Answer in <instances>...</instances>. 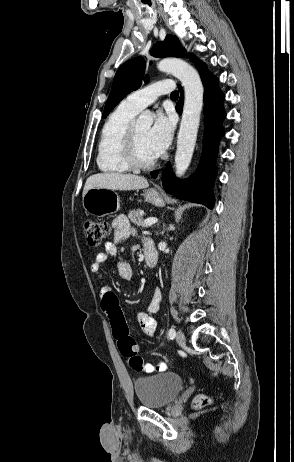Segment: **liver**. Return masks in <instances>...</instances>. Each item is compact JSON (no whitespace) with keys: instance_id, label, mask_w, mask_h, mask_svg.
<instances>
[{"instance_id":"6515ba94","label":"liver","mask_w":294,"mask_h":462,"mask_svg":"<svg viewBox=\"0 0 294 462\" xmlns=\"http://www.w3.org/2000/svg\"><path fill=\"white\" fill-rule=\"evenodd\" d=\"M144 177L133 174L98 173L90 176L85 183L83 196L91 188H106L110 190H135L148 187Z\"/></svg>"}]
</instances>
